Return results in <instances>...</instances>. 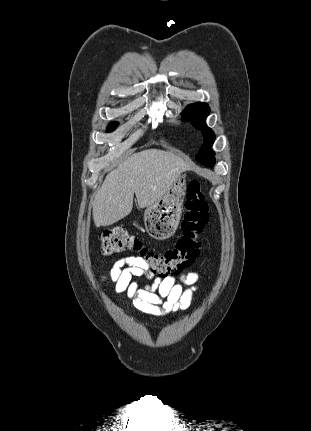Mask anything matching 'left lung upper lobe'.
I'll return each mask as SVG.
<instances>
[{"instance_id":"obj_1","label":"left lung upper lobe","mask_w":311,"mask_h":431,"mask_svg":"<svg viewBox=\"0 0 311 431\" xmlns=\"http://www.w3.org/2000/svg\"><path fill=\"white\" fill-rule=\"evenodd\" d=\"M209 113L210 108L208 104L194 103L186 107L182 114V120L190 121L196 129L202 131L204 144L199 150L196 159L206 166H213L215 163V158L211 146L215 140V135L205 123V119Z\"/></svg>"}]
</instances>
